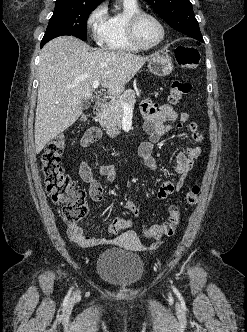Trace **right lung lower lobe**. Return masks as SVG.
<instances>
[{"mask_svg":"<svg viewBox=\"0 0 247 332\" xmlns=\"http://www.w3.org/2000/svg\"><path fill=\"white\" fill-rule=\"evenodd\" d=\"M63 35H68L66 31H61V30H53V31H46L45 35L41 41V47L44 46L45 43L50 41L51 39L58 37V36H63Z\"/></svg>","mask_w":247,"mask_h":332,"instance_id":"1","label":"right lung lower lobe"}]
</instances>
